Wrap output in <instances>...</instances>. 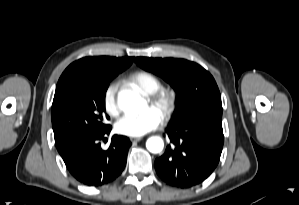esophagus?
<instances>
[{
	"instance_id": "obj_1",
	"label": "esophagus",
	"mask_w": 299,
	"mask_h": 205,
	"mask_svg": "<svg viewBox=\"0 0 299 205\" xmlns=\"http://www.w3.org/2000/svg\"><path fill=\"white\" fill-rule=\"evenodd\" d=\"M142 137H130V141L135 142V141H140Z\"/></svg>"
}]
</instances>
